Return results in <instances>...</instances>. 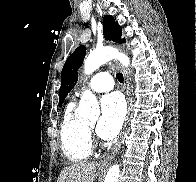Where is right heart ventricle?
I'll use <instances>...</instances> for the list:
<instances>
[{
	"label": "right heart ventricle",
	"mask_w": 196,
	"mask_h": 182,
	"mask_svg": "<svg viewBox=\"0 0 196 182\" xmlns=\"http://www.w3.org/2000/svg\"><path fill=\"white\" fill-rule=\"evenodd\" d=\"M60 139L66 158L74 163L87 160L92 152V145L86 123L76 114L75 103L65 109L61 125Z\"/></svg>",
	"instance_id": "1"
}]
</instances>
